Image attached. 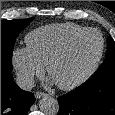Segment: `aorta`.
<instances>
[{"label": "aorta", "mask_w": 115, "mask_h": 115, "mask_svg": "<svg viewBox=\"0 0 115 115\" xmlns=\"http://www.w3.org/2000/svg\"><path fill=\"white\" fill-rule=\"evenodd\" d=\"M40 110L45 115H57L59 111L58 101L51 96H44L39 103Z\"/></svg>", "instance_id": "1"}]
</instances>
